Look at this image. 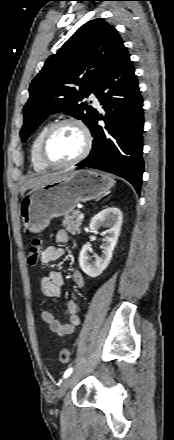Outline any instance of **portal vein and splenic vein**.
<instances>
[{
    "label": "portal vein and splenic vein",
    "mask_w": 174,
    "mask_h": 440,
    "mask_svg": "<svg viewBox=\"0 0 174 440\" xmlns=\"http://www.w3.org/2000/svg\"><path fill=\"white\" fill-rule=\"evenodd\" d=\"M78 218H79V220H83L84 219V214L83 213L79 214Z\"/></svg>",
    "instance_id": "1"
}]
</instances>
